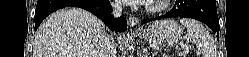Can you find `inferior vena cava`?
I'll return each instance as SVG.
<instances>
[{"instance_id": "obj_1", "label": "inferior vena cava", "mask_w": 249, "mask_h": 57, "mask_svg": "<svg viewBox=\"0 0 249 57\" xmlns=\"http://www.w3.org/2000/svg\"><path fill=\"white\" fill-rule=\"evenodd\" d=\"M113 15L118 17L122 14V5L119 2L112 3ZM100 57H116V45L114 39L107 34L101 37Z\"/></svg>"}]
</instances>
